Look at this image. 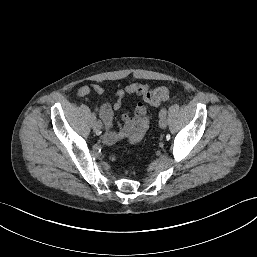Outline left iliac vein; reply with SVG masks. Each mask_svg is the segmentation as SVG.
<instances>
[{
    "instance_id": "obj_1",
    "label": "left iliac vein",
    "mask_w": 257,
    "mask_h": 257,
    "mask_svg": "<svg viewBox=\"0 0 257 257\" xmlns=\"http://www.w3.org/2000/svg\"><path fill=\"white\" fill-rule=\"evenodd\" d=\"M159 126L162 129H165L167 127V120L166 117H161L159 120Z\"/></svg>"
}]
</instances>
